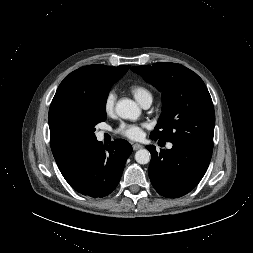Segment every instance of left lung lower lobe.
<instances>
[{
	"mask_svg": "<svg viewBox=\"0 0 253 253\" xmlns=\"http://www.w3.org/2000/svg\"><path fill=\"white\" fill-rule=\"evenodd\" d=\"M152 139V138H151ZM151 153L149 177L155 190L167 198H178L193 190L205 175L212 152L194 145L173 144L170 150Z\"/></svg>",
	"mask_w": 253,
	"mask_h": 253,
	"instance_id": "obj_1",
	"label": "left lung lower lobe"
}]
</instances>
